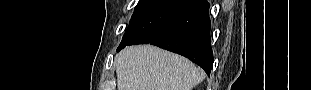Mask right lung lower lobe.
Returning a JSON list of instances; mask_svg holds the SVG:
<instances>
[{
	"label": "right lung lower lobe",
	"instance_id": "right-lung-lower-lobe-1",
	"mask_svg": "<svg viewBox=\"0 0 311 90\" xmlns=\"http://www.w3.org/2000/svg\"><path fill=\"white\" fill-rule=\"evenodd\" d=\"M208 11L209 4L206 0H191L170 20L139 39L120 45L117 51L127 45L151 43L187 57L209 75L213 66V53Z\"/></svg>",
	"mask_w": 311,
	"mask_h": 90
}]
</instances>
